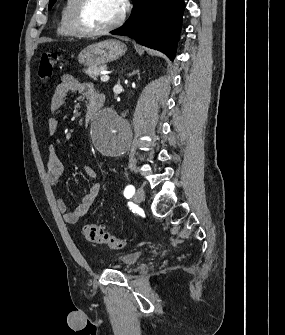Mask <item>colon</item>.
<instances>
[{
	"label": "colon",
	"mask_w": 285,
	"mask_h": 335,
	"mask_svg": "<svg viewBox=\"0 0 285 335\" xmlns=\"http://www.w3.org/2000/svg\"><path fill=\"white\" fill-rule=\"evenodd\" d=\"M58 60L59 56L54 52H47L41 55L38 76L42 82L47 83L52 78ZM83 233L89 242L106 245L111 249L119 250L127 246V241L111 235L103 227L96 224L85 225Z\"/></svg>",
	"instance_id": "5ec220e1"
}]
</instances>
